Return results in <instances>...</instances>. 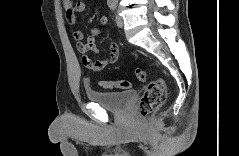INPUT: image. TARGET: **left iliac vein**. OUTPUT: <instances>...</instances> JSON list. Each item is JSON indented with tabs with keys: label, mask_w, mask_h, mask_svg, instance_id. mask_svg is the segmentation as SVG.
<instances>
[{
	"label": "left iliac vein",
	"mask_w": 239,
	"mask_h": 156,
	"mask_svg": "<svg viewBox=\"0 0 239 156\" xmlns=\"http://www.w3.org/2000/svg\"><path fill=\"white\" fill-rule=\"evenodd\" d=\"M115 20H116V24H117V26H118L119 28H122L123 25H124V22H123L122 17L119 16V15H116Z\"/></svg>",
	"instance_id": "4c4485c4"
}]
</instances>
